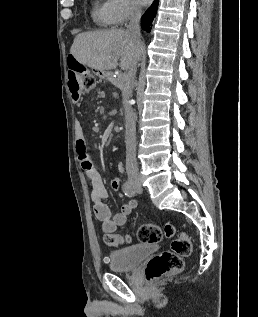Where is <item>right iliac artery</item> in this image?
<instances>
[{
  "mask_svg": "<svg viewBox=\"0 0 258 317\" xmlns=\"http://www.w3.org/2000/svg\"><path fill=\"white\" fill-rule=\"evenodd\" d=\"M123 191L125 195L128 197H133L135 195V189L128 180H126L125 183L123 184Z\"/></svg>",
  "mask_w": 258,
  "mask_h": 317,
  "instance_id": "obj_1",
  "label": "right iliac artery"
}]
</instances>
